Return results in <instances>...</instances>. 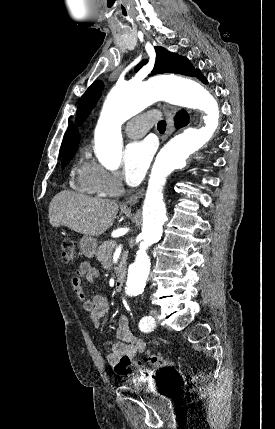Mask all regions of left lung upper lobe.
Wrapping results in <instances>:
<instances>
[{
	"label": "left lung upper lobe",
	"instance_id": "1",
	"mask_svg": "<svg viewBox=\"0 0 275 429\" xmlns=\"http://www.w3.org/2000/svg\"><path fill=\"white\" fill-rule=\"evenodd\" d=\"M156 51V62L154 68L151 72V75L161 74V73H177L186 76L196 77V72L192 64L188 59L181 57L175 53L169 52L163 47H155ZM147 61H142L134 70L137 72ZM103 89V84L100 81H95L83 94L78 104L77 110V120L82 122L86 116L89 114L90 110L99 99L101 91Z\"/></svg>",
	"mask_w": 275,
	"mask_h": 429
}]
</instances>
